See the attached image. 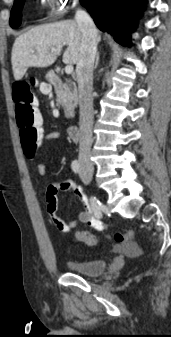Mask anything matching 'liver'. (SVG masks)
Instances as JSON below:
<instances>
[{"mask_svg": "<svg viewBox=\"0 0 171 337\" xmlns=\"http://www.w3.org/2000/svg\"><path fill=\"white\" fill-rule=\"evenodd\" d=\"M82 32L74 20H65L34 27L16 38L11 54L15 80H20L29 67L52 65L62 48L65 64H77L80 58ZM101 40L97 36V42Z\"/></svg>", "mask_w": 171, "mask_h": 337, "instance_id": "obj_1", "label": "liver"}]
</instances>
